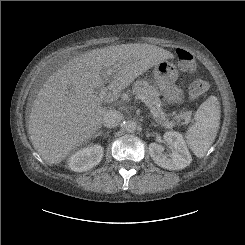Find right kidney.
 <instances>
[{
  "label": "right kidney",
  "mask_w": 245,
  "mask_h": 245,
  "mask_svg": "<svg viewBox=\"0 0 245 245\" xmlns=\"http://www.w3.org/2000/svg\"><path fill=\"white\" fill-rule=\"evenodd\" d=\"M103 152V148L98 144L82 148L68 158V166L75 172L90 170L100 163Z\"/></svg>",
  "instance_id": "obj_1"
}]
</instances>
